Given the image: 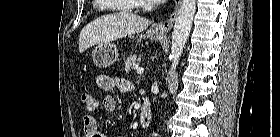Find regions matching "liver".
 I'll return each mask as SVG.
<instances>
[{
    "label": "liver",
    "mask_w": 280,
    "mask_h": 137,
    "mask_svg": "<svg viewBox=\"0 0 280 137\" xmlns=\"http://www.w3.org/2000/svg\"><path fill=\"white\" fill-rule=\"evenodd\" d=\"M152 22L128 12L107 14L88 23L79 35V52L144 31Z\"/></svg>",
    "instance_id": "1"
}]
</instances>
